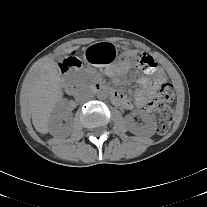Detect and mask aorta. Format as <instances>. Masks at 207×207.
<instances>
[{
  "instance_id": "aorta-1",
  "label": "aorta",
  "mask_w": 207,
  "mask_h": 207,
  "mask_svg": "<svg viewBox=\"0 0 207 207\" xmlns=\"http://www.w3.org/2000/svg\"><path fill=\"white\" fill-rule=\"evenodd\" d=\"M97 98L100 100H105L108 97V93L106 90L100 89L97 94Z\"/></svg>"
}]
</instances>
